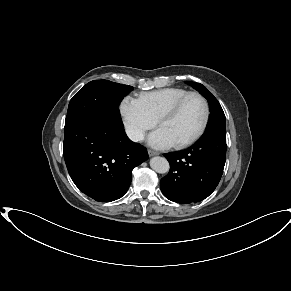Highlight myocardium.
<instances>
[{
	"instance_id": "1",
	"label": "myocardium",
	"mask_w": 291,
	"mask_h": 291,
	"mask_svg": "<svg viewBox=\"0 0 291 291\" xmlns=\"http://www.w3.org/2000/svg\"><path fill=\"white\" fill-rule=\"evenodd\" d=\"M192 96H196L202 100V102L204 104V108H205L204 119H203L201 127L192 137H190L189 139H187L185 141L173 144V146L177 149H183V148L191 146L192 144L197 142L202 137V135L205 133L207 126H208V123H209V119H210V106H209L207 99L202 94H200L198 92H189L186 95H184L182 98H180L176 103H174L157 120V126L160 127V125L164 121L174 118L178 114V112L180 111L183 104L187 101V99H189Z\"/></svg>"
}]
</instances>
